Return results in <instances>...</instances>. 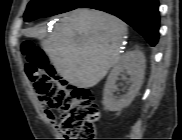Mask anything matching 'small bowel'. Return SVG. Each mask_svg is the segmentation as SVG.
Masks as SVG:
<instances>
[{"label":"small bowel","mask_w":182,"mask_h":140,"mask_svg":"<svg viewBox=\"0 0 182 140\" xmlns=\"http://www.w3.org/2000/svg\"><path fill=\"white\" fill-rule=\"evenodd\" d=\"M44 115L46 117V119L52 123L53 125L56 124L57 120H56V116L54 114V112L50 109V108H46L44 110Z\"/></svg>","instance_id":"small-bowel-1"}]
</instances>
